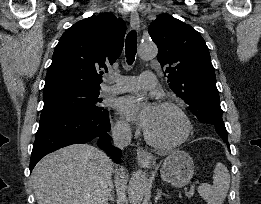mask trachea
Masks as SVG:
<instances>
[{
    "instance_id": "1",
    "label": "trachea",
    "mask_w": 261,
    "mask_h": 204,
    "mask_svg": "<svg viewBox=\"0 0 261 204\" xmlns=\"http://www.w3.org/2000/svg\"><path fill=\"white\" fill-rule=\"evenodd\" d=\"M137 50V34L135 30L128 33L125 41V53L127 63L131 65L135 60Z\"/></svg>"
}]
</instances>
